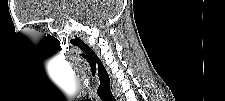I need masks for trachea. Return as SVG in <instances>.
Returning a JSON list of instances; mask_svg holds the SVG:
<instances>
[{"label": "trachea", "mask_w": 225, "mask_h": 101, "mask_svg": "<svg viewBox=\"0 0 225 101\" xmlns=\"http://www.w3.org/2000/svg\"><path fill=\"white\" fill-rule=\"evenodd\" d=\"M100 97H101L102 101H116V99L112 95V92H111L109 86L102 89Z\"/></svg>", "instance_id": "trachea-1"}]
</instances>
